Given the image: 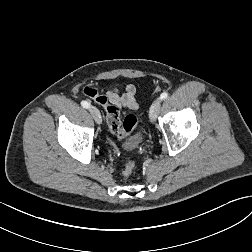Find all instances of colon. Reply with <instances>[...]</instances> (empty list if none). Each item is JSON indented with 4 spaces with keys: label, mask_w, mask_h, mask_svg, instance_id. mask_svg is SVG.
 <instances>
[{
    "label": "colon",
    "mask_w": 252,
    "mask_h": 252,
    "mask_svg": "<svg viewBox=\"0 0 252 252\" xmlns=\"http://www.w3.org/2000/svg\"><path fill=\"white\" fill-rule=\"evenodd\" d=\"M83 93L105 109L107 124L111 133L117 139H123L124 137L129 135L137 126L138 121L136 116L131 114L127 115L122 121L119 108L115 105L109 104L104 96L98 94L96 88L87 86L84 88ZM135 168V162L131 159H128L123 168L124 176H131Z\"/></svg>",
    "instance_id": "colon-1"
}]
</instances>
